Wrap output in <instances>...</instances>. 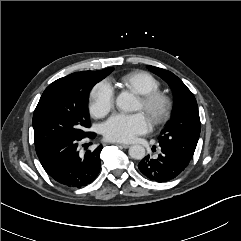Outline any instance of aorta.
<instances>
[{
    "label": "aorta",
    "mask_w": 241,
    "mask_h": 241,
    "mask_svg": "<svg viewBox=\"0 0 241 241\" xmlns=\"http://www.w3.org/2000/svg\"><path fill=\"white\" fill-rule=\"evenodd\" d=\"M116 106L125 112L135 111L137 102L135 97L128 92H121L116 98ZM129 155L133 159L141 160L145 157V148L142 145H133L129 148Z\"/></svg>",
    "instance_id": "obj_1"
}]
</instances>
